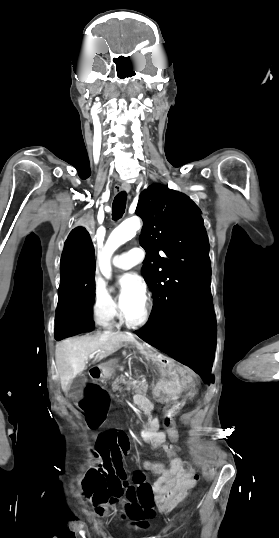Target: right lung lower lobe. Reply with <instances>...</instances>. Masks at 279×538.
Wrapping results in <instances>:
<instances>
[{
	"label": "right lung lower lobe",
	"mask_w": 279,
	"mask_h": 538,
	"mask_svg": "<svg viewBox=\"0 0 279 538\" xmlns=\"http://www.w3.org/2000/svg\"><path fill=\"white\" fill-rule=\"evenodd\" d=\"M60 274L54 331L56 340L94 329L95 258L91 238L85 228L73 229L66 239Z\"/></svg>",
	"instance_id": "1"
}]
</instances>
